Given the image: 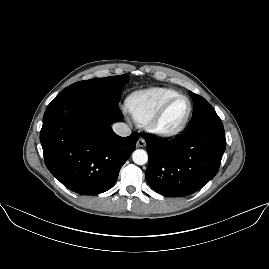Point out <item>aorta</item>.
I'll return each instance as SVG.
<instances>
[{
	"label": "aorta",
	"instance_id": "aorta-1",
	"mask_svg": "<svg viewBox=\"0 0 269 269\" xmlns=\"http://www.w3.org/2000/svg\"><path fill=\"white\" fill-rule=\"evenodd\" d=\"M132 159L135 164L142 166L148 162V154L144 150H135Z\"/></svg>",
	"mask_w": 269,
	"mask_h": 269
}]
</instances>
